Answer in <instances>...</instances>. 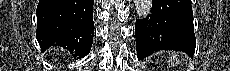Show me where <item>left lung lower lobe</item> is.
<instances>
[{"label": "left lung lower lobe", "instance_id": "0a47b994", "mask_svg": "<svg viewBox=\"0 0 230 71\" xmlns=\"http://www.w3.org/2000/svg\"><path fill=\"white\" fill-rule=\"evenodd\" d=\"M190 0H153L151 14L135 23L140 60L158 50L182 51L193 56L196 39Z\"/></svg>", "mask_w": 230, "mask_h": 71}]
</instances>
